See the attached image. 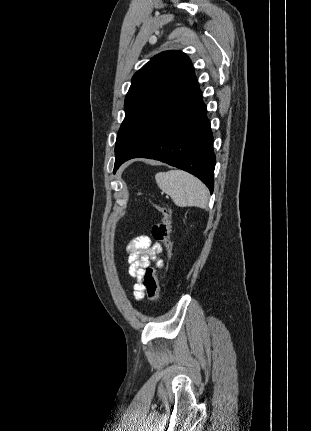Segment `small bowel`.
<instances>
[{
	"instance_id": "obj_1",
	"label": "small bowel",
	"mask_w": 311,
	"mask_h": 431,
	"mask_svg": "<svg viewBox=\"0 0 311 431\" xmlns=\"http://www.w3.org/2000/svg\"><path fill=\"white\" fill-rule=\"evenodd\" d=\"M162 248L159 243H153L149 236L142 235L134 238L128 244L126 253L129 263V274L137 279L134 285V297L141 300L144 297V287L141 282L145 268L157 259ZM158 266L162 267L163 262L159 261Z\"/></svg>"
}]
</instances>
